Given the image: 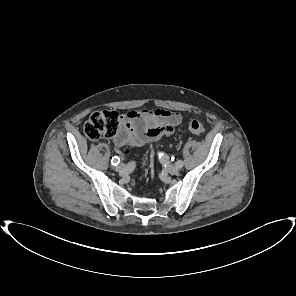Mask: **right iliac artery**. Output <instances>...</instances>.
<instances>
[{
    "label": "right iliac artery",
    "instance_id": "82829eb1",
    "mask_svg": "<svg viewBox=\"0 0 296 296\" xmlns=\"http://www.w3.org/2000/svg\"><path fill=\"white\" fill-rule=\"evenodd\" d=\"M111 162H112V165L116 166V165L119 164V162H120V158H119L118 156H114V157L112 158Z\"/></svg>",
    "mask_w": 296,
    "mask_h": 296
}]
</instances>
